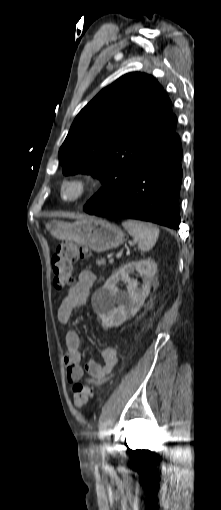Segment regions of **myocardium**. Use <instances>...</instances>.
<instances>
[{
    "mask_svg": "<svg viewBox=\"0 0 221 510\" xmlns=\"http://www.w3.org/2000/svg\"><path fill=\"white\" fill-rule=\"evenodd\" d=\"M97 179L92 173L78 172L66 177L60 185V198L66 203H78L87 198L96 188ZM73 189L69 196L67 191Z\"/></svg>",
    "mask_w": 221,
    "mask_h": 510,
    "instance_id": "myocardium-1",
    "label": "myocardium"
}]
</instances>
